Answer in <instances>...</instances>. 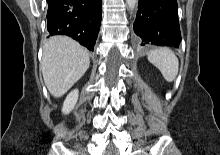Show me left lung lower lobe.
Returning a JSON list of instances; mask_svg holds the SVG:
<instances>
[{
	"instance_id": "1",
	"label": "left lung lower lobe",
	"mask_w": 220,
	"mask_h": 155,
	"mask_svg": "<svg viewBox=\"0 0 220 155\" xmlns=\"http://www.w3.org/2000/svg\"><path fill=\"white\" fill-rule=\"evenodd\" d=\"M134 32L138 45L178 48L181 33L176 0H139Z\"/></svg>"
}]
</instances>
